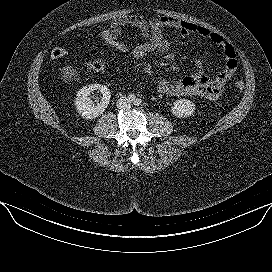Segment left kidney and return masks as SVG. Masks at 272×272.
<instances>
[{
    "label": "left kidney",
    "mask_w": 272,
    "mask_h": 272,
    "mask_svg": "<svg viewBox=\"0 0 272 272\" xmlns=\"http://www.w3.org/2000/svg\"><path fill=\"white\" fill-rule=\"evenodd\" d=\"M173 115L179 118L189 117L195 111V105L187 99L177 100L171 108Z\"/></svg>",
    "instance_id": "left-kidney-1"
}]
</instances>
